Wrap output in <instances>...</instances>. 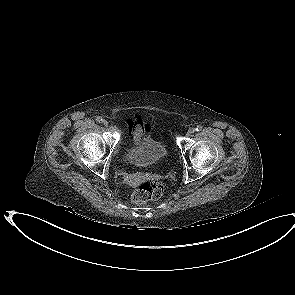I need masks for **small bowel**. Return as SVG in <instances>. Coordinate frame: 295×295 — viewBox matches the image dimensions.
I'll use <instances>...</instances> for the list:
<instances>
[{"label": "small bowel", "mask_w": 295, "mask_h": 295, "mask_svg": "<svg viewBox=\"0 0 295 295\" xmlns=\"http://www.w3.org/2000/svg\"><path fill=\"white\" fill-rule=\"evenodd\" d=\"M150 129L149 125L143 126L140 123L135 124L131 129V141L134 145L138 146L146 138V133ZM149 174L147 172H140L136 175H128L126 183L128 185L139 184L147 181Z\"/></svg>", "instance_id": "c3829d8e"}]
</instances>
